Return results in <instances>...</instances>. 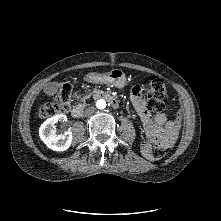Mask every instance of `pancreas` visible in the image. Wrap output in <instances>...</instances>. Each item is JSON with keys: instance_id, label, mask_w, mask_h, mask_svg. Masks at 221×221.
Here are the masks:
<instances>
[{"instance_id": "cf45deb5", "label": "pancreas", "mask_w": 221, "mask_h": 221, "mask_svg": "<svg viewBox=\"0 0 221 221\" xmlns=\"http://www.w3.org/2000/svg\"><path fill=\"white\" fill-rule=\"evenodd\" d=\"M89 97H90L89 95L84 96V97L82 98V100L85 101V100L88 99Z\"/></svg>"}]
</instances>
